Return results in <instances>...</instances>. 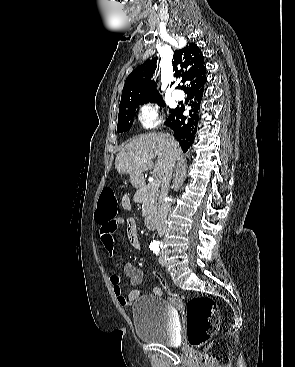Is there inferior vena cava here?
<instances>
[{
  "mask_svg": "<svg viewBox=\"0 0 295 367\" xmlns=\"http://www.w3.org/2000/svg\"><path fill=\"white\" fill-rule=\"evenodd\" d=\"M172 172L163 180L162 188L159 196L158 204V218L156 229L159 236H163L167 229V215L169 210V204L166 200L168 194L169 182L171 179Z\"/></svg>",
  "mask_w": 295,
  "mask_h": 367,
  "instance_id": "1",
  "label": "inferior vena cava"
}]
</instances>
